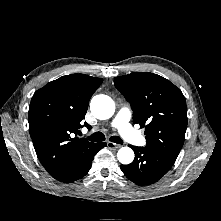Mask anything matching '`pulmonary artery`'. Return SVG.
<instances>
[{
	"instance_id": "e3ab8cb5",
	"label": "pulmonary artery",
	"mask_w": 221,
	"mask_h": 221,
	"mask_svg": "<svg viewBox=\"0 0 221 221\" xmlns=\"http://www.w3.org/2000/svg\"><path fill=\"white\" fill-rule=\"evenodd\" d=\"M131 114L129 107L120 108L111 122V127L115 128L128 142L134 145H143L145 143L144 137L130 125Z\"/></svg>"
}]
</instances>
